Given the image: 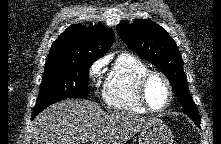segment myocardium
<instances>
[{"label": "myocardium", "instance_id": "f54148a6", "mask_svg": "<svg viewBox=\"0 0 221 144\" xmlns=\"http://www.w3.org/2000/svg\"><path fill=\"white\" fill-rule=\"evenodd\" d=\"M153 76L160 77L164 81V83L168 89V100H167L166 104L162 108H159V109H155L149 104L148 99H147V95H146L147 83H148L149 79ZM136 91H137V97H138L140 104L148 112H152V113H161V112H164L165 110H167L172 103L173 94H174L172 84H171L170 80L168 79V77L163 72H161L159 70H153V69H147L145 72H143L138 77L137 82H136Z\"/></svg>", "mask_w": 221, "mask_h": 144}]
</instances>
